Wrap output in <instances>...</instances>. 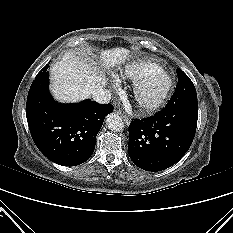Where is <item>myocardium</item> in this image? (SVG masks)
Returning a JSON list of instances; mask_svg holds the SVG:
<instances>
[{"label":"myocardium","instance_id":"myocardium-1","mask_svg":"<svg viewBox=\"0 0 233 233\" xmlns=\"http://www.w3.org/2000/svg\"><path fill=\"white\" fill-rule=\"evenodd\" d=\"M160 76L163 81V87L153 95H149V89L154 79ZM173 86L172 76L162 68L155 69L147 73L134 85V98L139 108L145 112H152L158 109L166 101Z\"/></svg>","mask_w":233,"mask_h":233}]
</instances>
